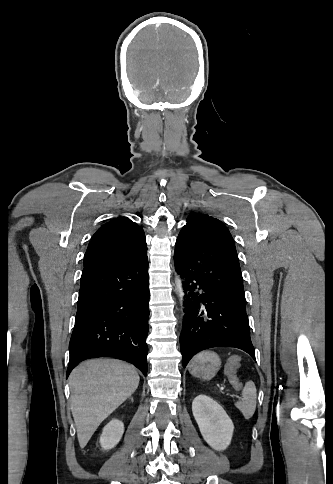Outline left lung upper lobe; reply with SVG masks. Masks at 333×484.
<instances>
[{"label":"left lung upper lobe","mask_w":333,"mask_h":484,"mask_svg":"<svg viewBox=\"0 0 333 484\" xmlns=\"http://www.w3.org/2000/svg\"><path fill=\"white\" fill-rule=\"evenodd\" d=\"M193 218H206V219L209 218V219H214L213 217H211L209 215H206V214H195V213H192V214H190V216L188 217V219H193Z\"/></svg>","instance_id":"1"}]
</instances>
